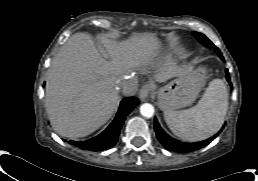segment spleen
<instances>
[{"label": "spleen", "mask_w": 258, "mask_h": 181, "mask_svg": "<svg viewBox=\"0 0 258 181\" xmlns=\"http://www.w3.org/2000/svg\"><path fill=\"white\" fill-rule=\"evenodd\" d=\"M227 109L226 86L222 80L214 79L194 107L164 111V118L176 136L183 140L198 141L210 137L221 128Z\"/></svg>", "instance_id": "spleen-1"}]
</instances>
